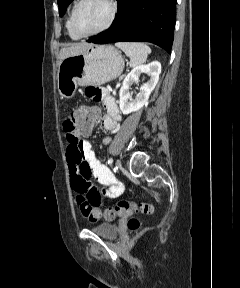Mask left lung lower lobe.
<instances>
[{
    "instance_id": "left-lung-lower-lobe-1",
    "label": "left lung lower lobe",
    "mask_w": 240,
    "mask_h": 288,
    "mask_svg": "<svg viewBox=\"0 0 240 288\" xmlns=\"http://www.w3.org/2000/svg\"><path fill=\"white\" fill-rule=\"evenodd\" d=\"M177 0H117V15L106 31L88 42L119 41L154 43L171 53Z\"/></svg>"
}]
</instances>
